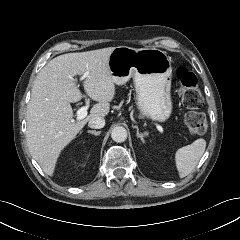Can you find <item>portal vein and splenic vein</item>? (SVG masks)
<instances>
[{
    "label": "portal vein and splenic vein",
    "instance_id": "1",
    "mask_svg": "<svg viewBox=\"0 0 240 240\" xmlns=\"http://www.w3.org/2000/svg\"><path fill=\"white\" fill-rule=\"evenodd\" d=\"M88 75V72L84 73V75L81 77V80H83L84 78H86ZM89 101H87V104L86 106H82L80 109L77 110V120H82L84 119L86 116H87V111H88V108H89ZM156 128L161 132L163 133L164 130L162 128L161 125L159 124H156Z\"/></svg>",
    "mask_w": 240,
    "mask_h": 240
}]
</instances>
